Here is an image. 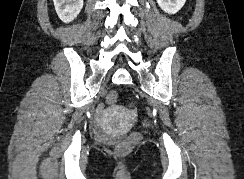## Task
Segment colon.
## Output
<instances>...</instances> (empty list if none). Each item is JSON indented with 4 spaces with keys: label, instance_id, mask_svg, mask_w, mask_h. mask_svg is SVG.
<instances>
[{
    "label": "colon",
    "instance_id": "obj_1",
    "mask_svg": "<svg viewBox=\"0 0 244 179\" xmlns=\"http://www.w3.org/2000/svg\"><path fill=\"white\" fill-rule=\"evenodd\" d=\"M119 98V93H108L106 96V101H110V103H114ZM118 147H115V152H128V147L131 146L130 142H118Z\"/></svg>",
    "mask_w": 244,
    "mask_h": 179
}]
</instances>
